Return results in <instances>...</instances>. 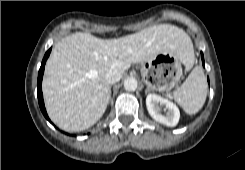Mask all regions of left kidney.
<instances>
[{
  "mask_svg": "<svg viewBox=\"0 0 245 170\" xmlns=\"http://www.w3.org/2000/svg\"><path fill=\"white\" fill-rule=\"evenodd\" d=\"M146 106L150 116L159 123L169 127H174L179 122V109L168 99H165L156 94H148L146 98ZM162 106H165L168 110L166 115H163L161 112Z\"/></svg>",
  "mask_w": 245,
  "mask_h": 170,
  "instance_id": "1",
  "label": "left kidney"
}]
</instances>
